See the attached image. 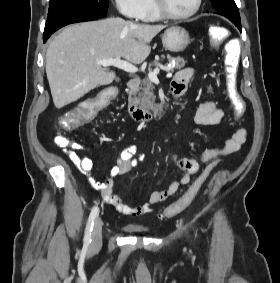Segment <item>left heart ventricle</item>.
I'll return each instance as SVG.
<instances>
[{"instance_id": "1", "label": "left heart ventricle", "mask_w": 280, "mask_h": 283, "mask_svg": "<svg viewBox=\"0 0 280 283\" xmlns=\"http://www.w3.org/2000/svg\"><path fill=\"white\" fill-rule=\"evenodd\" d=\"M196 0H163L164 6L173 14H185L193 9Z\"/></svg>"}]
</instances>
